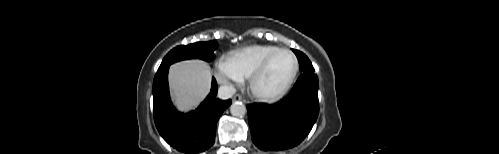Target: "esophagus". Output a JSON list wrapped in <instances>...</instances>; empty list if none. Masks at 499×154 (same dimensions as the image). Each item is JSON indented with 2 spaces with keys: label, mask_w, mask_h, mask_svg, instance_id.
Wrapping results in <instances>:
<instances>
[{
  "label": "esophagus",
  "mask_w": 499,
  "mask_h": 154,
  "mask_svg": "<svg viewBox=\"0 0 499 154\" xmlns=\"http://www.w3.org/2000/svg\"><path fill=\"white\" fill-rule=\"evenodd\" d=\"M243 100L242 96L239 95V94H236L234 97H233V101H241Z\"/></svg>",
  "instance_id": "esophagus-1"
}]
</instances>
